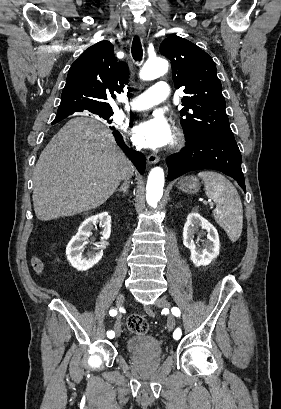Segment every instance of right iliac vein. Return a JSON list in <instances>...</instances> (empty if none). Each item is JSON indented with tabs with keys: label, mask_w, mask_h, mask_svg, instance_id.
I'll list each match as a JSON object with an SVG mask.
<instances>
[{
	"label": "right iliac vein",
	"mask_w": 281,
	"mask_h": 409,
	"mask_svg": "<svg viewBox=\"0 0 281 409\" xmlns=\"http://www.w3.org/2000/svg\"><path fill=\"white\" fill-rule=\"evenodd\" d=\"M124 301H125L124 294H123V293H120V294L117 296V298H116V307H117V309L122 308V306H123V304H124ZM120 318H121V315L119 314V315L117 316V321H116L115 326H114V330H115L116 337L120 336V334H121V322H120Z\"/></svg>",
	"instance_id": "1"
}]
</instances>
